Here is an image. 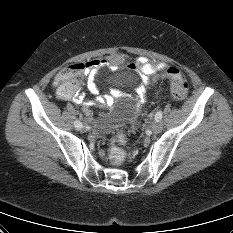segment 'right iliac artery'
Wrapping results in <instances>:
<instances>
[{"label": "right iliac artery", "instance_id": "obj_1", "mask_svg": "<svg viewBox=\"0 0 233 233\" xmlns=\"http://www.w3.org/2000/svg\"><path fill=\"white\" fill-rule=\"evenodd\" d=\"M75 128L79 129L80 126H82V123L79 120L74 121Z\"/></svg>", "mask_w": 233, "mask_h": 233}]
</instances>
